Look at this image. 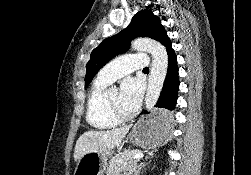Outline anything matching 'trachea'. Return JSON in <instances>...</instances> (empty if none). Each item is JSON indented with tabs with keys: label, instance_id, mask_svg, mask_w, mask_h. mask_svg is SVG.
<instances>
[{
	"label": "trachea",
	"instance_id": "trachea-1",
	"mask_svg": "<svg viewBox=\"0 0 251 175\" xmlns=\"http://www.w3.org/2000/svg\"><path fill=\"white\" fill-rule=\"evenodd\" d=\"M143 71H149L148 67L143 68Z\"/></svg>",
	"mask_w": 251,
	"mask_h": 175
}]
</instances>
